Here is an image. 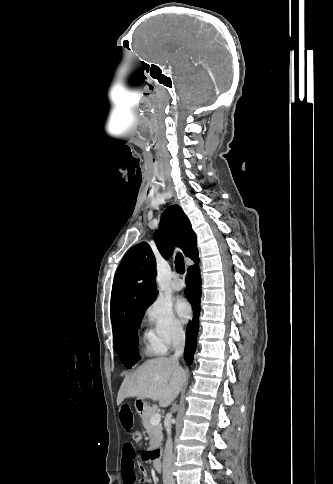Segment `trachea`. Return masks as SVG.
Instances as JSON below:
<instances>
[{"label": "trachea", "instance_id": "obj_1", "mask_svg": "<svg viewBox=\"0 0 333 484\" xmlns=\"http://www.w3.org/2000/svg\"><path fill=\"white\" fill-rule=\"evenodd\" d=\"M175 269L179 274H184V272H185L184 258H183V255L181 253L176 254Z\"/></svg>", "mask_w": 333, "mask_h": 484}]
</instances>
